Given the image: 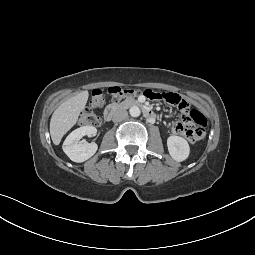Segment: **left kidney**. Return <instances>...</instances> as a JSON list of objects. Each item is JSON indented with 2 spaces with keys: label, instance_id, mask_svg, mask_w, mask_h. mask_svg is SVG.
I'll return each instance as SVG.
<instances>
[{
  "label": "left kidney",
  "instance_id": "obj_1",
  "mask_svg": "<svg viewBox=\"0 0 255 255\" xmlns=\"http://www.w3.org/2000/svg\"><path fill=\"white\" fill-rule=\"evenodd\" d=\"M167 147L170 156L178 162L186 160L189 156V144L184 138L180 136L172 135L168 137Z\"/></svg>",
  "mask_w": 255,
  "mask_h": 255
}]
</instances>
